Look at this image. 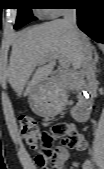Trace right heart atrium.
Masks as SVG:
<instances>
[{
    "label": "right heart atrium",
    "mask_w": 104,
    "mask_h": 169,
    "mask_svg": "<svg viewBox=\"0 0 104 169\" xmlns=\"http://www.w3.org/2000/svg\"><path fill=\"white\" fill-rule=\"evenodd\" d=\"M64 12V9H45L44 15L49 18L57 17Z\"/></svg>",
    "instance_id": "right-heart-atrium-1"
}]
</instances>
